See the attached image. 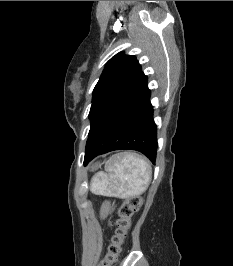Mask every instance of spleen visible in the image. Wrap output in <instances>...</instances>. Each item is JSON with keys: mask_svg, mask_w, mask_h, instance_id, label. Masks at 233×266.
I'll list each match as a JSON object with an SVG mask.
<instances>
[{"mask_svg": "<svg viewBox=\"0 0 233 266\" xmlns=\"http://www.w3.org/2000/svg\"><path fill=\"white\" fill-rule=\"evenodd\" d=\"M105 172L97 173L91 180L94 194L110 197H133L146 191L151 181L150 165L133 153H118L105 164Z\"/></svg>", "mask_w": 233, "mask_h": 266, "instance_id": "3e777b00", "label": "spleen"}]
</instances>
